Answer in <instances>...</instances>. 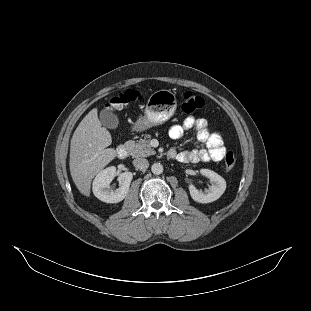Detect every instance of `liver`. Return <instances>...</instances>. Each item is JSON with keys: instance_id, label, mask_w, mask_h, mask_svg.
<instances>
[{"instance_id": "1", "label": "liver", "mask_w": 311, "mask_h": 311, "mask_svg": "<svg viewBox=\"0 0 311 311\" xmlns=\"http://www.w3.org/2000/svg\"><path fill=\"white\" fill-rule=\"evenodd\" d=\"M111 144L109 131L102 127L97 110L92 109L76 128L70 143V171L78 189L89 194L94 175L109 161L116 151Z\"/></svg>"}]
</instances>
